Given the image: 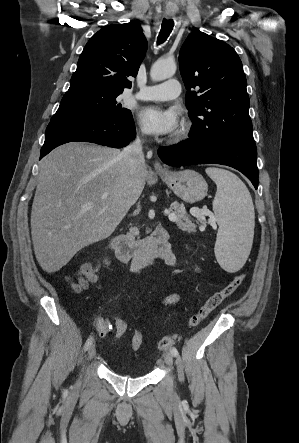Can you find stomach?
<instances>
[{
	"mask_svg": "<svg viewBox=\"0 0 299 443\" xmlns=\"http://www.w3.org/2000/svg\"><path fill=\"white\" fill-rule=\"evenodd\" d=\"M159 175L179 198L188 203L198 202L207 195L205 179L194 170L165 171Z\"/></svg>",
	"mask_w": 299,
	"mask_h": 443,
	"instance_id": "stomach-1",
	"label": "stomach"
}]
</instances>
